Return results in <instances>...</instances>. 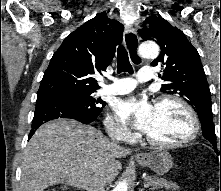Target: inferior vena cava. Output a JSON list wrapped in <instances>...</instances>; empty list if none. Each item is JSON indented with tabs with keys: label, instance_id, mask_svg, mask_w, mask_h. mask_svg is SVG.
<instances>
[{
	"label": "inferior vena cava",
	"instance_id": "602c4592",
	"mask_svg": "<svg viewBox=\"0 0 221 191\" xmlns=\"http://www.w3.org/2000/svg\"><path fill=\"white\" fill-rule=\"evenodd\" d=\"M110 138L113 143L117 140L116 136H110ZM105 185L106 183L103 179L96 180L90 191H104Z\"/></svg>",
	"mask_w": 221,
	"mask_h": 191
}]
</instances>
